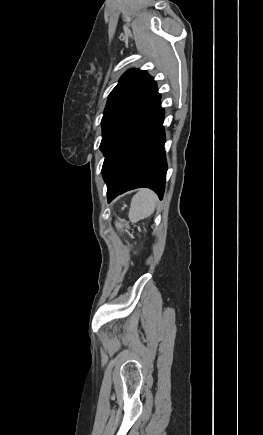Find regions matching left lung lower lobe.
Instances as JSON below:
<instances>
[{
    "mask_svg": "<svg viewBox=\"0 0 263 435\" xmlns=\"http://www.w3.org/2000/svg\"><path fill=\"white\" fill-rule=\"evenodd\" d=\"M161 96L119 135L105 156L102 174L108 202L128 190L148 187L164 194L167 163Z\"/></svg>",
    "mask_w": 263,
    "mask_h": 435,
    "instance_id": "obj_1",
    "label": "left lung lower lobe"
}]
</instances>
